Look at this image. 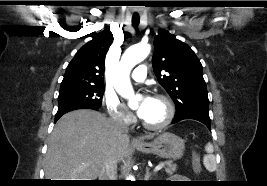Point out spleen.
Listing matches in <instances>:
<instances>
[{
  "label": "spleen",
  "instance_id": "obj_1",
  "mask_svg": "<svg viewBox=\"0 0 267 186\" xmlns=\"http://www.w3.org/2000/svg\"><path fill=\"white\" fill-rule=\"evenodd\" d=\"M207 155L204 156L203 163L208 171H214L216 169L215 156L213 155L214 147L211 143L205 146Z\"/></svg>",
  "mask_w": 267,
  "mask_h": 186
}]
</instances>
